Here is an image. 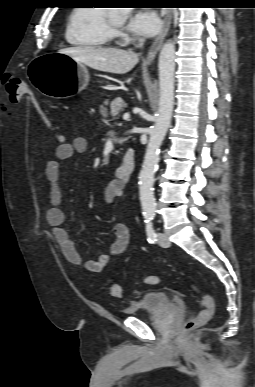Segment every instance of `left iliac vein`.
Here are the masks:
<instances>
[{
	"label": "left iliac vein",
	"mask_w": 255,
	"mask_h": 387,
	"mask_svg": "<svg viewBox=\"0 0 255 387\" xmlns=\"http://www.w3.org/2000/svg\"><path fill=\"white\" fill-rule=\"evenodd\" d=\"M157 241L158 244L163 248H167L170 246V241L165 233H157Z\"/></svg>",
	"instance_id": "obj_1"
}]
</instances>
